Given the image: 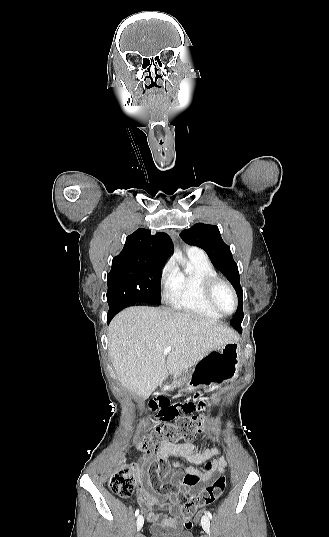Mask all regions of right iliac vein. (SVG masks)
Wrapping results in <instances>:
<instances>
[{
	"mask_svg": "<svg viewBox=\"0 0 329 537\" xmlns=\"http://www.w3.org/2000/svg\"><path fill=\"white\" fill-rule=\"evenodd\" d=\"M143 524H144V519L141 515H139L137 517V520H136V529L137 531H140L141 528L143 527Z\"/></svg>",
	"mask_w": 329,
	"mask_h": 537,
	"instance_id": "1",
	"label": "right iliac vein"
}]
</instances>
